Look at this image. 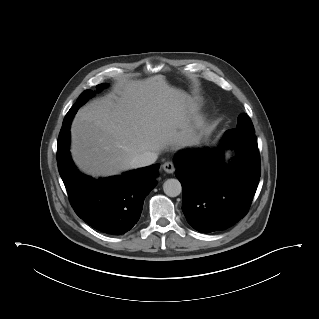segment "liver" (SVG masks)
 <instances>
[{
	"label": "liver",
	"instance_id": "1",
	"mask_svg": "<svg viewBox=\"0 0 319 319\" xmlns=\"http://www.w3.org/2000/svg\"><path fill=\"white\" fill-rule=\"evenodd\" d=\"M188 96L163 75L124 80L113 92L82 107L71 125V153L93 177L130 169L137 155L195 143Z\"/></svg>",
	"mask_w": 319,
	"mask_h": 319
}]
</instances>
